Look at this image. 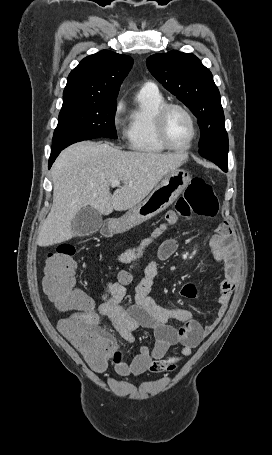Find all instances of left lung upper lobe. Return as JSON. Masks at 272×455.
Listing matches in <instances>:
<instances>
[{"label":"left lung upper lobe","mask_w":272,"mask_h":455,"mask_svg":"<svg viewBox=\"0 0 272 455\" xmlns=\"http://www.w3.org/2000/svg\"><path fill=\"white\" fill-rule=\"evenodd\" d=\"M151 74L198 118L199 153L228 150L220 93L211 72L192 53L170 51L147 58Z\"/></svg>","instance_id":"obj_1"}]
</instances>
